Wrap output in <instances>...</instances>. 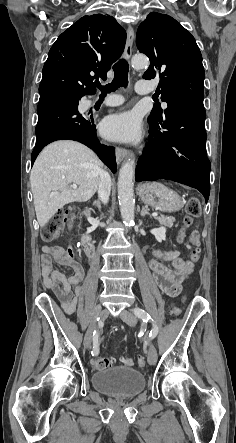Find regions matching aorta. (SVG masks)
I'll use <instances>...</instances> for the list:
<instances>
[{"instance_id": "aorta-1", "label": "aorta", "mask_w": 236, "mask_h": 443, "mask_svg": "<svg viewBox=\"0 0 236 443\" xmlns=\"http://www.w3.org/2000/svg\"><path fill=\"white\" fill-rule=\"evenodd\" d=\"M131 62L134 68L140 69L148 65V58L144 55H136ZM134 173L135 161L132 158H128L121 166L118 177L119 206L121 217L126 225H131L134 222Z\"/></svg>"}]
</instances>
